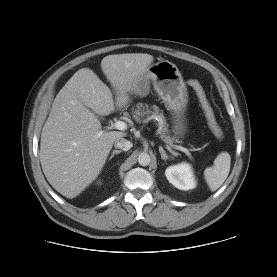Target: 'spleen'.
Wrapping results in <instances>:
<instances>
[{
	"instance_id": "3e777b00",
	"label": "spleen",
	"mask_w": 277,
	"mask_h": 277,
	"mask_svg": "<svg viewBox=\"0 0 277 277\" xmlns=\"http://www.w3.org/2000/svg\"><path fill=\"white\" fill-rule=\"evenodd\" d=\"M231 157L228 152H221L214 160V165L204 170L205 180L211 191H216L228 177Z\"/></svg>"
}]
</instances>
